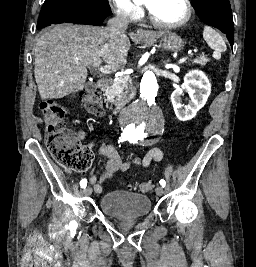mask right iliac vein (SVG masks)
<instances>
[{"label": "right iliac vein", "instance_id": "1", "mask_svg": "<svg viewBox=\"0 0 256 267\" xmlns=\"http://www.w3.org/2000/svg\"><path fill=\"white\" fill-rule=\"evenodd\" d=\"M83 193L86 196H90L92 193V188L90 186H87L86 188H84Z\"/></svg>", "mask_w": 256, "mask_h": 267}]
</instances>
